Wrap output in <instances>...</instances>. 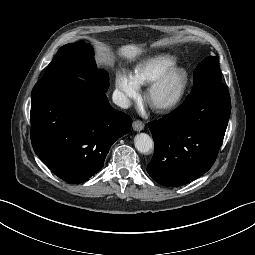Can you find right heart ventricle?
Wrapping results in <instances>:
<instances>
[{"instance_id":"right-heart-ventricle-1","label":"right heart ventricle","mask_w":255,"mask_h":255,"mask_svg":"<svg viewBox=\"0 0 255 255\" xmlns=\"http://www.w3.org/2000/svg\"><path fill=\"white\" fill-rule=\"evenodd\" d=\"M173 66H177L176 57L167 53L156 54L136 67L134 77L139 85H148Z\"/></svg>"}]
</instances>
